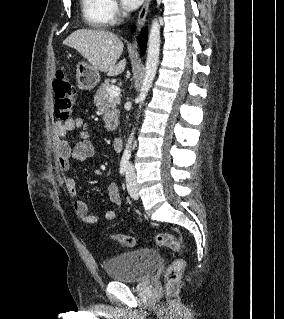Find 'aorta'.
<instances>
[{
  "label": "aorta",
  "mask_w": 284,
  "mask_h": 319,
  "mask_svg": "<svg viewBox=\"0 0 284 319\" xmlns=\"http://www.w3.org/2000/svg\"><path fill=\"white\" fill-rule=\"evenodd\" d=\"M160 23L157 18L152 20L151 29L148 38L147 47V59L145 65L144 79L141 86L140 94L138 95L139 109H141L146 96L152 86L154 78L156 76L158 64H159V54H160ZM134 141V130L130 134L125 150L123 152V159H129L131 156V146Z\"/></svg>",
  "instance_id": "1"
}]
</instances>
